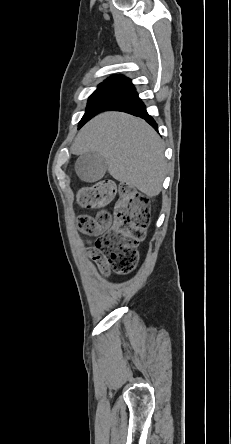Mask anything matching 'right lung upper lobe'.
<instances>
[{"label": "right lung upper lobe", "mask_w": 231, "mask_h": 444, "mask_svg": "<svg viewBox=\"0 0 231 444\" xmlns=\"http://www.w3.org/2000/svg\"><path fill=\"white\" fill-rule=\"evenodd\" d=\"M101 86H111V87L120 88L125 90L128 94L135 91V88L133 87L131 80L121 75H114L106 79L103 83L99 85V87Z\"/></svg>", "instance_id": "right-lung-upper-lobe-1"}]
</instances>
